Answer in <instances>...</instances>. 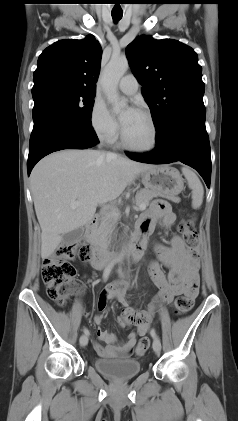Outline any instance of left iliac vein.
Here are the masks:
<instances>
[{
	"label": "left iliac vein",
	"instance_id": "1",
	"mask_svg": "<svg viewBox=\"0 0 238 421\" xmlns=\"http://www.w3.org/2000/svg\"><path fill=\"white\" fill-rule=\"evenodd\" d=\"M152 346H153V350L156 353H159L161 351V342H160V340L158 338H156V339L153 340V345Z\"/></svg>",
	"mask_w": 238,
	"mask_h": 421
}]
</instances>
